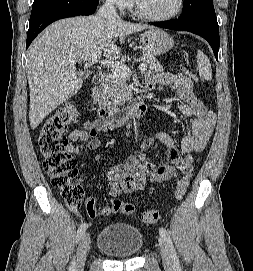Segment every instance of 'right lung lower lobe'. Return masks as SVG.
<instances>
[{
	"instance_id": "right-lung-lower-lobe-1",
	"label": "right lung lower lobe",
	"mask_w": 253,
	"mask_h": 271,
	"mask_svg": "<svg viewBox=\"0 0 253 271\" xmlns=\"http://www.w3.org/2000/svg\"><path fill=\"white\" fill-rule=\"evenodd\" d=\"M97 6L98 4H91L89 2H77L52 7L38 13L30 18L26 48H28L32 40L52 22L67 17L91 15L95 12Z\"/></svg>"
}]
</instances>
